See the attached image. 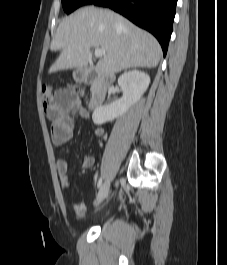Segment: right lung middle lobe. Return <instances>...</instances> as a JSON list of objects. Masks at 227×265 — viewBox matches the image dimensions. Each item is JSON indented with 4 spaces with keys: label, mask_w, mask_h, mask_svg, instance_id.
Returning <instances> with one entry per match:
<instances>
[{
    "label": "right lung middle lobe",
    "mask_w": 227,
    "mask_h": 265,
    "mask_svg": "<svg viewBox=\"0 0 227 265\" xmlns=\"http://www.w3.org/2000/svg\"><path fill=\"white\" fill-rule=\"evenodd\" d=\"M93 1L94 0H62V5L64 11L69 14L83 5L91 4Z\"/></svg>",
    "instance_id": "obj_1"
}]
</instances>
